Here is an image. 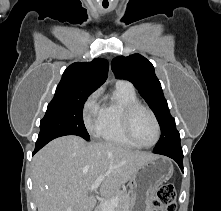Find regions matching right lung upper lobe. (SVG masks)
<instances>
[{"label":"right lung upper lobe","mask_w":221,"mask_h":211,"mask_svg":"<svg viewBox=\"0 0 221 211\" xmlns=\"http://www.w3.org/2000/svg\"><path fill=\"white\" fill-rule=\"evenodd\" d=\"M108 61L95 58L91 62H77L63 73L56 88L55 98L87 95L99 88L107 79Z\"/></svg>","instance_id":"right-lung-upper-lobe-1"}]
</instances>
